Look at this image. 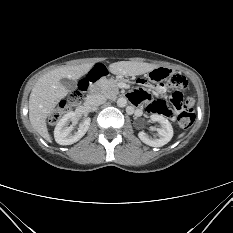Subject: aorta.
Returning a JSON list of instances; mask_svg holds the SVG:
<instances>
[{
	"instance_id": "aorta-1",
	"label": "aorta",
	"mask_w": 233,
	"mask_h": 233,
	"mask_svg": "<svg viewBox=\"0 0 233 233\" xmlns=\"http://www.w3.org/2000/svg\"><path fill=\"white\" fill-rule=\"evenodd\" d=\"M126 105H127V99H126V98L121 97V98H119V99L117 100V106H118V107L123 108V107H125Z\"/></svg>"
}]
</instances>
